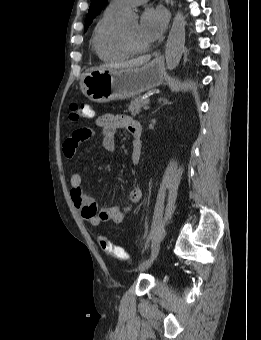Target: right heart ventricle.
<instances>
[{
    "instance_id": "right-heart-ventricle-1",
    "label": "right heart ventricle",
    "mask_w": 261,
    "mask_h": 340,
    "mask_svg": "<svg viewBox=\"0 0 261 340\" xmlns=\"http://www.w3.org/2000/svg\"><path fill=\"white\" fill-rule=\"evenodd\" d=\"M122 13L108 6L96 25L92 47L103 62L120 61L131 55L121 41Z\"/></svg>"
}]
</instances>
